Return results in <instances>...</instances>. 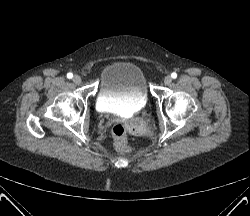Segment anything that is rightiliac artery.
Wrapping results in <instances>:
<instances>
[{"label": "right iliac artery", "mask_w": 250, "mask_h": 216, "mask_svg": "<svg viewBox=\"0 0 250 216\" xmlns=\"http://www.w3.org/2000/svg\"><path fill=\"white\" fill-rule=\"evenodd\" d=\"M73 77V74L72 73H68L67 74V78L71 79Z\"/></svg>", "instance_id": "obj_1"}]
</instances>
